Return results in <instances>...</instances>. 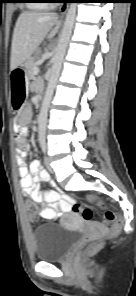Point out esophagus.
Here are the masks:
<instances>
[{"label":"esophagus","instance_id":"1","mask_svg":"<svg viewBox=\"0 0 136 296\" xmlns=\"http://www.w3.org/2000/svg\"><path fill=\"white\" fill-rule=\"evenodd\" d=\"M67 8H68V4H63L61 7H60V16L63 17L67 11Z\"/></svg>","mask_w":136,"mask_h":296}]
</instances>
